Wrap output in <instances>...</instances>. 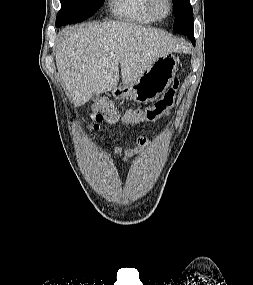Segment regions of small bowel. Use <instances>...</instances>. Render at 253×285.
Instances as JSON below:
<instances>
[{"label": "small bowel", "mask_w": 253, "mask_h": 285, "mask_svg": "<svg viewBox=\"0 0 253 285\" xmlns=\"http://www.w3.org/2000/svg\"><path fill=\"white\" fill-rule=\"evenodd\" d=\"M148 144H149V141L145 137H140L138 139V147H144ZM116 151L118 153L122 154L126 160L132 158L137 153L136 149H129V148H123V147H117Z\"/></svg>", "instance_id": "c3829d8e"}]
</instances>
